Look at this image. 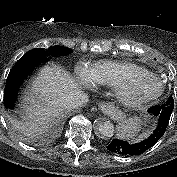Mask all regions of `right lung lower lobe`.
Instances as JSON below:
<instances>
[{
    "label": "right lung lower lobe",
    "mask_w": 177,
    "mask_h": 177,
    "mask_svg": "<svg viewBox=\"0 0 177 177\" xmlns=\"http://www.w3.org/2000/svg\"><path fill=\"white\" fill-rule=\"evenodd\" d=\"M45 55L25 54L21 57L11 69L4 91V104L6 108H13L16 101L19 86L24 78L29 75L33 69L41 63L48 62Z\"/></svg>",
    "instance_id": "1"
}]
</instances>
